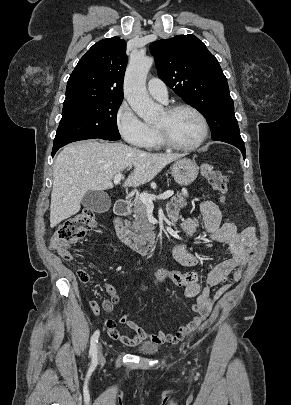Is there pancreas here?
<instances>
[{
    "instance_id": "1",
    "label": "pancreas",
    "mask_w": 291,
    "mask_h": 405,
    "mask_svg": "<svg viewBox=\"0 0 291 405\" xmlns=\"http://www.w3.org/2000/svg\"><path fill=\"white\" fill-rule=\"evenodd\" d=\"M188 197L187 193H177L171 200L179 207L183 208L186 206V199ZM133 224L132 230L141 236L149 235L154 227L149 223L146 215V205L140 200H135L133 203Z\"/></svg>"
}]
</instances>
